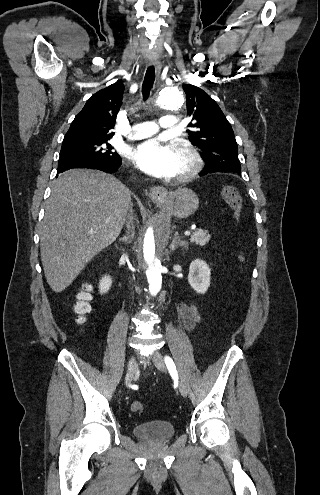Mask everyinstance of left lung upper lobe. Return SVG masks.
Segmentation results:
<instances>
[{
    "label": "left lung upper lobe",
    "mask_w": 320,
    "mask_h": 495,
    "mask_svg": "<svg viewBox=\"0 0 320 495\" xmlns=\"http://www.w3.org/2000/svg\"><path fill=\"white\" fill-rule=\"evenodd\" d=\"M186 93L189 140L200 148L207 170H225L241 173L238 147L230 123L218 104L202 89L183 85Z\"/></svg>",
    "instance_id": "1"
}]
</instances>
